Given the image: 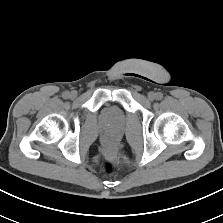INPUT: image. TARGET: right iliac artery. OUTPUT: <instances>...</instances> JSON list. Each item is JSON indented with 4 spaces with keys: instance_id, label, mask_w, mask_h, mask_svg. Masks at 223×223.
<instances>
[{
    "instance_id": "obj_1",
    "label": "right iliac artery",
    "mask_w": 223,
    "mask_h": 223,
    "mask_svg": "<svg viewBox=\"0 0 223 223\" xmlns=\"http://www.w3.org/2000/svg\"><path fill=\"white\" fill-rule=\"evenodd\" d=\"M69 96H70V93H69L68 91H65V92L63 93V97H64L65 99H67Z\"/></svg>"
}]
</instances>
